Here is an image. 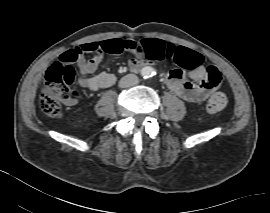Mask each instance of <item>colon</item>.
<instances>
[{
	"instance_id": "1",
	"label": "colon",
	"mask_w": 270,
	"mask_h": 213,
	"mask_svg": "<svg viewBox=\"0 0 270 213\" xmlns=\"http://www.w3.org/2000/svg\"><path fill=\"white\" fill-rule=\"evenodd\" d=\"M155 49L154 43H143L138 40H109L106 50L111 54H121L123 52L141 53L148 56L149 51ZM81 55L78 47H73L53 62L46 70L44 77V87L40 96V108L42 112L51 118H61L64 114V106L77 99V93L72 90L71 85L74 80L75 71L73 64ZM201 57L193 56V65H199ZM208 73L218 76L219 71L214 66L207 67ZM227 97L223 92L214 93L207 103L210 113H219L227 106Z\"/></svg>"
}]
</instances>
